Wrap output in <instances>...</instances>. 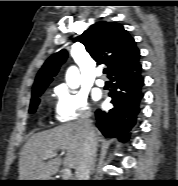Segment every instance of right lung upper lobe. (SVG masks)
<instances>
[{"mask_svg": "<svg viewBox=\"0 0 178 186\" xmlns=\"http://www.w3.org/2000/svg\"><path fill=\"white\" fill-rule=\"evenodd\" d=\"M78 40L97 64L104 63L108 66V77L137 62L140 57L134 39L122 25L115 22H97L91 25ZM66 58L67 52L63 49L46 60L36 76L32 95L45 90Z\"/></svg>", "mask_w": 178, "mask_h": 186, "instance_id": "1", "label": "right lung upper lobe"}]
</instances>
